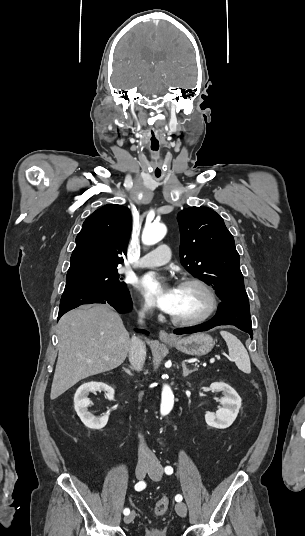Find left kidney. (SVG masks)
Returning <instances> with one entry per match:
<instances>
[{
    "instance_id": "5707ae66",
    "label": "left kidney",
    "mask_w": 305,
    "mask_h": 536,
    "mask_svg": "<svg viewBox=\"0 0 305 536\" xmlns=\"http://www.w3.org/2000/svg\"><path fill=\"white\" fill-rule=\"evenodd\" d=\"M210 388L214 392H222L224 398H221L219 402L223 408H219L217 414L206 412V424L211 428H220V430L229 428L237 418L239 408H241V398L231 386L224 384V382H214Z\"/></svg>"
}]
</instances>
